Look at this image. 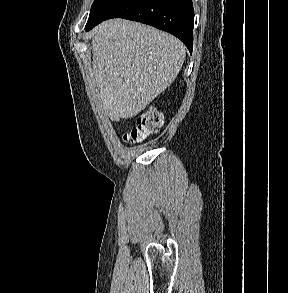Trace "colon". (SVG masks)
Wrapping results in <instances>:
<instances>
[{"label": "colon", "mask_w": 288, "mask_h": 293, "mask_svg": "<svg viewBox=\"0 0 288 293\" xmlns=\"http://www.w3.org/2000/svg\"><path fill=\"white\" fill-rule=\"evenodd\" d=\"M135 122V126L124 135L127 143L141 142L156 132L162 125V116L159 112L149 109L139 114Z\"/></svg>", "instance_id": "1"}]
</instances>
